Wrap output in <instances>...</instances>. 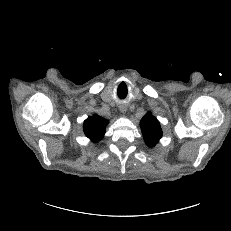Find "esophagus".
<instances>
[{"label": "esophagus", "instance_id": "obj_1", "mask_svg": "<svg viewBox=\"0 0 231 231\" xmlns=\"http://www.w3.org/2000/svg\"><path fill=\"white\" fill-rule=\"evenodd\" d=\"M119 109H120V112H121L122 114H125L126 111H127L126 105H120Z\"/></svg>", "mask_w": 231, "mask_h": 231}]
</instances>
